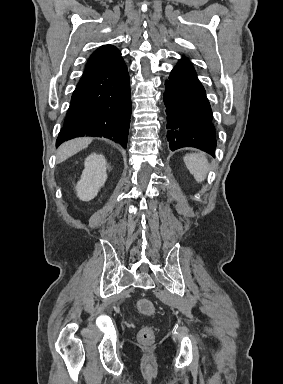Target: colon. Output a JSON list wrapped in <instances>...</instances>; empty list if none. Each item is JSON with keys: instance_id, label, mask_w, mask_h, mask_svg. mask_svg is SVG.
<instances>
[{"instance_id": "colon-1", "label": "colon", "mask_w": 283, "mask_h": 384, "mask_svg": "<svg viewBox=\"0 0 283 384\" xmlns=\"http://www.w3.org/2000/svg\"><path fill=\"white\" fill-rule=\"evenodd\" d=\"M137 309L140 313L153 316L155 314V306L154 304L146 298H140L137 301ZM138 339L141 343L149 344L154 339V333L151 327H143L138 333Z\"/></svg>"}]
</instances>
